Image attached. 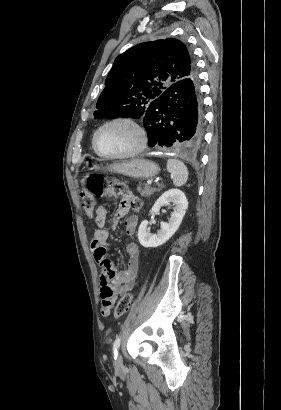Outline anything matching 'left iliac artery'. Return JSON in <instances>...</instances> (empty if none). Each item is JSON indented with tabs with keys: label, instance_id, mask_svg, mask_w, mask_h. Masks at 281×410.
<instances>
[{
	"label": "left iliac artery",
	"instance_id": "obj_1",
	"mask_svg": "<svg viewBox=\"0 0 281 410\" xmlns=\"http://www.w3.org/2000/svg\"><path fill=\"white\" fill-rule=\"evenodd\" d=\"M120 343H121V338L117 337L113 343V354H114V359H116L117 355H118V349L120 347Z\"/></svg>",
	"mask_w": 281,
	"mask_h": 410
}]
</instances>
